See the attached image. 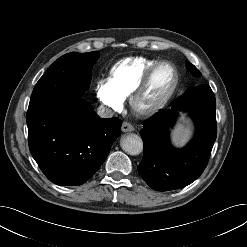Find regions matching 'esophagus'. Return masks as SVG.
Here are the masks:
<instances>
[{
  "label": "esophagus",
  "instance_id": "esophagus-1",
  "mask_svg": "<svg viewBox=\"0 0 247 247\" xmlns=\"http://www.w3.org/2000/svg\"><path fill=\"white\" fill-rule=\"evenodd\" d=\"M121 129H122L123 132H132V131H134V127L128 122H123Z\"/></svg>",
  "mask_w": 247,
  "mask_h": 247
}]
</instances>
